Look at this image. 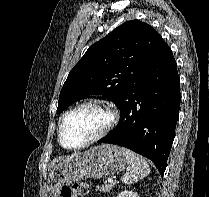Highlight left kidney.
<instances>
[{
  "label": "left kidney",
  "instance_id": "left-kidney-1",
  "mask_svg": "<svg viewBox=\"0 0 209 197\" xmlns=\"http://www.w3.org/2000/svg\"><path fill=\"white\" fill-rule=\"evenodd\" d=\"M117 197H138L136 193L128 190L122 191Z\"/></svg>",
  "mask_w": 209,
  "mask_h": 197
}]
</instances>
